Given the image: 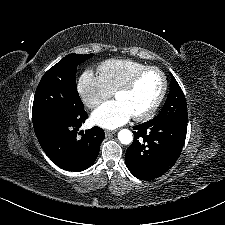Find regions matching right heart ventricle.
Wrapping results in <instances>:
<instances>
[{"label":"right heart ventricle","mask_w":225,"mask_h":225,"mask_svg":"<svg viewBox=\"0 0 225 225\" xmlns=\"http://www.w3.org/2000/svg\"><path fill=\"white\" fill-rule=\"evenodd\" d=\"M145 64L130 59H108L98 65L99 76L107 89L114 93Z\"/></svg>","instance_id":"e07e8e85"}]
</instances>
